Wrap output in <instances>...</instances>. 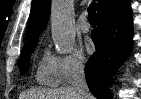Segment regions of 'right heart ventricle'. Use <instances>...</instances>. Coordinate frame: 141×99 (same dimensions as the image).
Wrapping results in <instances>:
<instances>
[{"mask_svg":"<svg viewBox=\"0 0 141 99\" xmlns=\"http://www.w3.org/2000/svg\"><path fill=\"white\" fill-rule=\"evenodd\" d=\"M36 81L44 86H57L61 80L57 58L45 51L41 56L35 75Z\"/></svg>","mask_w":141,"mask_h":99,"instance_id":"1","label":"right heart ventricle"}]
</instances>
